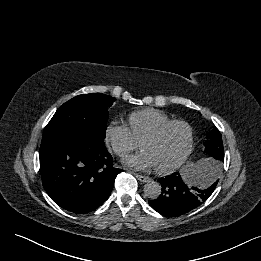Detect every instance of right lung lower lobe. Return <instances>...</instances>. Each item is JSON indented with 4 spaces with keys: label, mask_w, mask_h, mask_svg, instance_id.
<instances>
[{
    "label": "right lung lower lobe",
    "mask_w": 261,
    "mask_h": 261,
    "mask_svg": "<svg viewBox=\"0 0 261 261\" xmlns=\"http://www.w3.org/2000/svg\"><path fill=\"white\" fill-rule=\"evenodd\" d=\"M39 158L44 189L55 203L73 213L102 205L122 172L113 167L103 140L88 133L42 141Z\"/></svg>",
    "instance_id": "1"
}]
</instances>
